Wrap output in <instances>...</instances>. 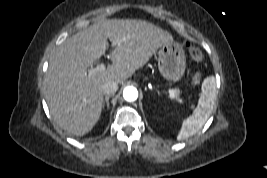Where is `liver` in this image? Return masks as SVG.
<instances>
[{
    "label": "liver",
    "instance_id": "obj_1",
    "mask_svg": "<svg viewBox=\"0 0 267 178\" xmlns=\"http://www.w3.org/2000/svg\"><path fill=\"white\" fill-rule=\"evenodd\" d=\"M112 60L102 72L88 74L89 67L108 48ZM173 41L167 31L144 20H98L66 39L49 61L44 81L45 99L55 123L70 134L83 136L98 122L102 86L122 83L143 67L163 44Z\"/></svg>",
    "mask_w": 267,
    "mask_h": 178
}]
</instances>
